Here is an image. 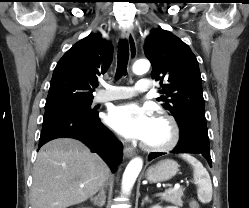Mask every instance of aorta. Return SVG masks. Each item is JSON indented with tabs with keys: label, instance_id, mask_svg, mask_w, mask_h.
Wrapping results in <instances>:
<instances>
[{
	"label": "aorta",
	"instance_id": "aorta-1",
	"mask_svg": "<svg viewBox=\"0 0 249 208\" xmlns=\"http://www.w3.org/2000/svg\"><path fill=\"white\" fill-rule=\"evenodd\" d=\"M150 68L148 60H137L133 65V72L137 75L146 73ZM143 160L140 157L132 159L127 165L122 177V193L128 195L142 169Z\"/></svg>",
	"mask_w": 249,
	"mask_h": 208
}]
</instances>
